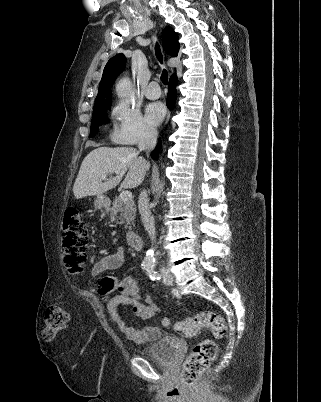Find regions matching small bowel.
Segmentation results:
<instances>
[{"label":"small bowel","instance_id":"small-bowel-1","mask_svg":"<svg viewBox=\"0 0 321 402\" xmlns=\"http://www.w3.org/2000/svg\"><path fill=\"white\" fill-rule=\"evenodd\" d=\"M124 261V250L117 248L115 252L100 257L92 267L93 275H101L119 268ZM104 297L110 319L115 322L125 337L135 343L143 344L156 340L160 329L157 326L141 328L128 324L118 311L120 305L126 306L129 314L141 319L152 318L159 308L151 301L145 300L134 278L125 277L121 281L103 279L98 287ZM115 291L118 294L111 297Z\"/></svg>","mask_w":321,"mask_h":402}]
</instances>
